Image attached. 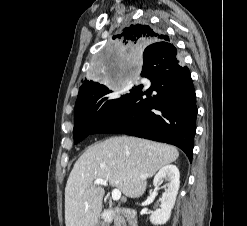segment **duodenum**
I'll use <instances>...</instances> for the list:
<instances>
[{"label":"duodenum","mask_w":247,"mask_h":226,"mask_svg":"<svg viewBox=\"0 0 247 226\" xmlns=\"http://www.w3.org/2000/svg\"><path fill=\"white\" fill-rule=\"evenodd\" d=\"M118 218L122 224H128L129 226H137L136 211L129 208L116 207L106 210L103 213L102 224H108L113 219Z\"/></svg>","instance_id":"obj_1"}]
</instances>
